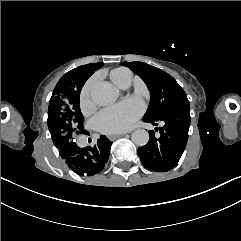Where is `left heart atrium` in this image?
Instances as JSON below:
<instances>
[{
    "mask_svg": "<svg viewBox=\"0 0 241 241\" xmlns=\"http://www.w3.org/2000/svg\"><path fill=\"white\" fill-rule=\"evenodd\" d=\"M141 113L142 107L131 108L126 105H117L98 112L93 122L102 133L120 134L131 130Z\"/></svg>",
    "mask_w": 241,
    "mask_h": 241,
    "instance_id": "1",
    "label": "left heart atrium"
}]
</instances>
